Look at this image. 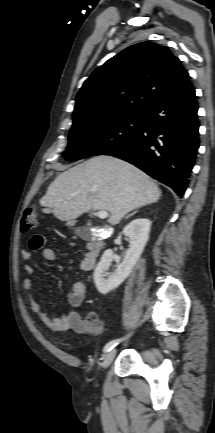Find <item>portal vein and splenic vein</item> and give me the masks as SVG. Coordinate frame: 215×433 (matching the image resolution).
<instances>
[{
    "label": "portal vein and splenic vein",
    "instance_id": "portal-vein-and-splenic-vein-1",
    "mask_svg": "<svg viewBox=\"0 0 215 433\" xmlns=\"http://www.w3.org/2000/svg\"><path fill=\"white\" fill-rule=\"evenodd\" d=\"M97 216H98L100 219H105V218H107V217L109 216V214H108V212H106V211H99V212L97 213Z\"/></svg>",
    "mask_w": 215,
    "mask_h": 433
}]
</instances>
